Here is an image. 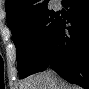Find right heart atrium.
I'll list each match as a JSON object with an SVG mask.
<instances>
[{
	"instance_id": "d8ad5b80",
	"label": "right heart atrium",
	"mask_w": 89,
	"mask_h": 89,
	"mask_svg": "<svg viewBox=\"0 0 89 89\" xmlns=\"http://www.w3.org/2000/svg\"><path fill=\"white\" fill-rule=\"evenodd\" d=\"M37 42L40 44V42H41V39H40V38H37Z\"/></svg>"
}]
</instances>
